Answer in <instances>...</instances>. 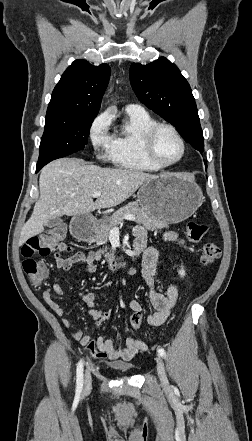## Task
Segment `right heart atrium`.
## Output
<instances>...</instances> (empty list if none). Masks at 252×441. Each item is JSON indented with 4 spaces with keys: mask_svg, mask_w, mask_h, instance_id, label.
I'll return each mask as SVG.
<instances>
[{
    "mask_svg": "<svg viewBox=\"0 0 252 441\" xmlns=\"http://www.w3.org/2000/svg\"><path fill=\"white\" fill-rule=\"evenodd\" d=\"M110 118L107 113L98 115L90 125L89 140L99 159H112L113 136L110 134Z\"/></svg>",
    "mask_w": 252,
    "mask_h": 441,
    "instance_id": "d8ad5b80",
    "label": "right heart atrium"
}]
</instances>
